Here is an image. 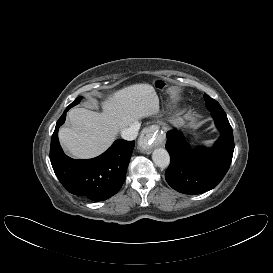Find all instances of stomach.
<instances>
[{"mask_svg":"<svg viewBox=\"0 0 273 273\" xmlns=\"http://www.w3.org/2000/svg\"><path fill=\"white\" fill-rule=\"evenodd\" d=\"M161 83V88H164L166 86V83L164 81H160Z\"/></svg>","mask_w":273,"mask_h":273,"instance_id":"obj_1","label":"stomach"}]
</instances>
